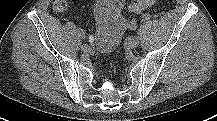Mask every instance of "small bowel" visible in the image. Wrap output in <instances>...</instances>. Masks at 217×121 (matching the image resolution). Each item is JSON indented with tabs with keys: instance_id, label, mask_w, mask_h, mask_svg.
Instances as JSON below:
<instances>
[{
	"instance_id": "obj_1",
	"label": "small bowel",
	"mask_w": 217,
	"mask_h": 121,
	"mask_svg": "<svg viewBox=\"0 0 217 121\" xmlns=\"http://www.w3.org/2000/svg\"><path fill=\"white\" fill-rule=\"evenodd\" d=\"M155 3L156 0H133L128 9L133 14H139L153 7ZM125 6V0H95L93 12L99 50H112L127 30L136 29L137 20L124 16Z\"/></svg>"
}]
</instances>
